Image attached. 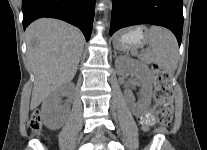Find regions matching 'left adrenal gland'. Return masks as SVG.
I'll return each mask as SVG.
<instances>
[{
  "label": "left adrenal gland",
  "instance_id": "a2214340",
  "mask_svg": "<svg viewBox=\"0 0 207 150\" xmlns=\"http://www.w3.org/2000/svg\"><path fill=\"white\" fill-rule=\"evenodd\" d=\"M114 54H115V56L117 55V52L116 51H114Z\"/></svg>",
  "mask_w": 207,
  "mask_h": 150
}]
</instances>
